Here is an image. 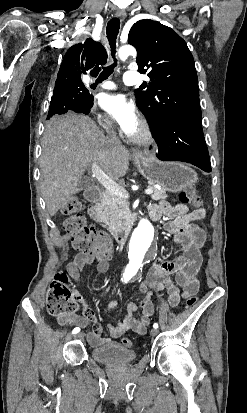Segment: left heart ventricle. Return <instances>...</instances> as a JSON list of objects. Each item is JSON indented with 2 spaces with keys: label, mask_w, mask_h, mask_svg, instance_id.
I'll list each match as a JSON object with an SVG mask.
<instances>
[{
  "label": "left heart ventricle",
  "mask_w": 247,
  "mask_h": 413,
  "mask_svg": "<svg viewBox=\"0 0 247 413\" xmlns=\"http://www.w3.org/2000/svg\"><path fill=\"white\" fill-rule=\"evenodd\" d=\"M142 133H143L142 126H140L137 132L135 133L134 137L140 136Z\"/></svg>",
  "instance_id": "b2bd125f"
}]
</instances>
